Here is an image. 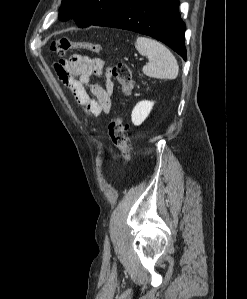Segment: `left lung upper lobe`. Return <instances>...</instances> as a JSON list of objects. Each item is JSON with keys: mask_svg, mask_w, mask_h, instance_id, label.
Listing matches in <instances>:
<instances>
[{"mask_svg": "<svg viewBox=\"0 0 247 299\" xmlns=\"http://www.w3.org/2000/svg\"><path fill=\"white\" fill-rule=\"evenodd\" d=\"M121 0H63L59 18L63 21L73 18L81 28L92 25Z\"/></svg>", "mask_w": 247, "mask_h": 299, "instance_id": "obj_1", "label": "left lung upper lobe"}]
</instances>
